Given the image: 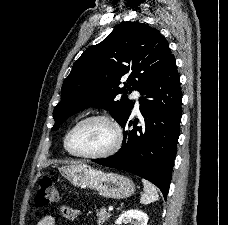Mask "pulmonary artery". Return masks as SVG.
Here are the masks:
<instances>
[{"instance_id": "obj_1", "label": "pulmonary artery", "mask_w": 228, "mask_h": 225, "mask_svg": "<svg viewBox=\"0 0 228 225\" xmlns=\"http://www.w3.org/2000/svg\"><path fill=\"white\" fill-rule=\"evenodd\" d=\"M131 98L134 101V111L137 113L139 111L140 99L142 98V95L139 91L134 90L131 94Z\"/></svg>"}]
</instances>
